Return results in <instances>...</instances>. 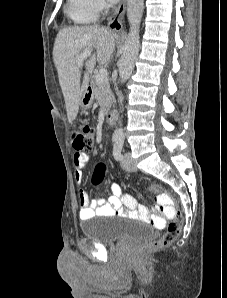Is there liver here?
I'll return each mask as SVG.
<instances>
[{"instance_id": "6515ba94", "label": "liver", "mask_w": 227, "mask_h": 298, "mask_svg": "<svg viewBox=\"0 0 227 298\" xmlns=\"http://www.w3.org/2000/svg\"><path fill=\"white\" fill-rule=\"evenodd\" d=\"M115 49V35L98 26H75L59 31L53 48L54 63L65 99L69 123L76 118L82 94L89 86L90 74L96 62L107 65ZM84 51L93 52L85 61L86 72L81 84V69L77 57Z\"/></svg>"}]
</instances>
